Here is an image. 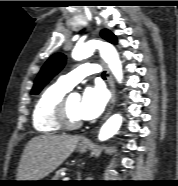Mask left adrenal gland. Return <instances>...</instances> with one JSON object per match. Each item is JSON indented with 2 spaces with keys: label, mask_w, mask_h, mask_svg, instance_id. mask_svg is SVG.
<instances>
[{
  "label": "left adrenal gland",
  "mask_w": 178,
  "mask_h": 186,
  "mask_svg": "<svg viewBox=\"0 0 178 186\" xmlns=\"http://www.w3.org/2000/svg\"><path fill=\"white\" fill-rule=\"evenodd\" d=\"M78 178H79V180H80V175H78Z\"/></svg>",
  "instance_id": "obj_1"
}]
</instances>
